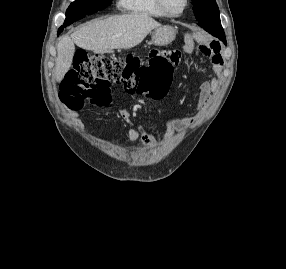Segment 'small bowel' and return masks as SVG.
Masks as SVG:
<instances>
[{
  "label": "small bowel",
  "mask_w": 286,
  "mask_h": 269,
  "mask_svg": "<svg viewBox=\"0 0 286 269\" xmlns=\"http://www.w3.org/2000/svg\"><path fill=\"white\" fill-rule=\"evenodd\" d=\"M193 49H194L193 42L187 40L184 46V51L186 53H191ZM198 49L203 55L211 59L214 75L209 80H206L203 83H201V85L199 86V96L196 105L198 111L197 116L170 117L166 120L167 131H186L194 124H196L197 120L200 117H202L203 114L206 112L212 94L218 87L219 78L221 74V66H222L220 46L215 42H210ZM179 61H180V55L178 53V57L173 61L174 65H178ZM133 114H134L133 110L125 109L122 111V118L126 122L132 124ZM127 136L131 142H135L139 138H143L145 140L147 148L150 150H153L156 146L154 138L149 134L148 130L141 124L133 125L128 130Z\"/></svg>",
  "instance_id": "1"
}]
</instances>
